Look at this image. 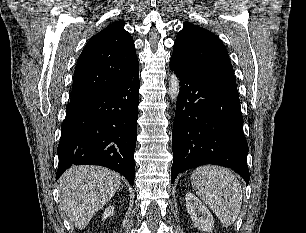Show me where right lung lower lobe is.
<instances>
[{"label": "right lung lower lobe", "instance_id": "98d812e1", "mask_svg": "<svg viewBox=\"0 0 306 233\" xmlns=\"http://www.w3.org/2000/svg\"><path fill=\"white\" fill-rule=\"evenodd\" d=\"M139 68L118 86L71 101L61 125L56 180L71 165H100L134 184Z\"/></svg>", "mask_w": 306, "mask_h": 233}]
</instances>
